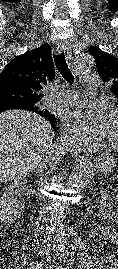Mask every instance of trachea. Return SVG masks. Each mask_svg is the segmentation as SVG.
I'll return each instance as SVG.
<instances>
[{
	"mask_svg": "<svg viewBox=\"0 0 118 269\" xmlns=\"http://www.w3.org/2000/svg\"><path fill=\"white\" fill-rule=\"evenodd\" d=\"M53 57L56 68L59 71V73L67 81V83L72 84L74 82V76L66 64L64 52H61L60 54L54 53Z\"/></svg>",
	"mask_w": 118,
	"mask_h": 269,
	"instance_id": "1",
	"label": "trachea"
}]
</instances>
